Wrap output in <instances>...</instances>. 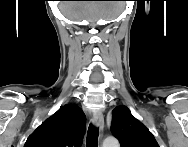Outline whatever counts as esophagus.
Segmentation results:
<instances>
[{"label": "esophagus", "mask_w": 188, "mask_h": 147, "mask_svg": "<svg viewBox=\"0 0 188 147\" xmlns=\"http://www.w3.org/2000/svg\"><path fill=\"white\" fill-rule=\"evenodd\" d=\"M92 123L96 128H99L100 132L104 128V117L101 112H96L92 117Z\"/></svg>", "instance_id": "esophagus-1"}]
</instances>
